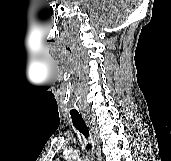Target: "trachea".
Here are the masks:
<instances>
[{
	"mask_svg": "<svg viewBox=\"0 0 171 161\" xmlns=\"http://www.w3.org/2000/svg\"><path fill=\"white\" fill-rule=\"evenodd\" d=\"M72 123L74 127L85 137V139L88 142V137H89V130L88 127L86 126L83 118L78 112H70ZM92 148L91 143H87L86 149L90 150Z\"/></svg>",
	"mask_w": 171,
	"mask_h": 161,
	"instance_id": "trachea-1",
	"label": "trachea"
}]
</instances>
